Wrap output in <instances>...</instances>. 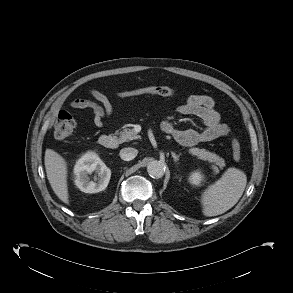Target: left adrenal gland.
I'll list each match as a JSON object with an SVG mask.
<instances>
[{
  "instance_id": "1",
  "label": "left adrenal gland",
  "mask_w": 293,
  "mask_h": 293,
  "mask_svg": "<svg viewBox=\"0 0 293 293\" xmlns=\"http://www.w3.org/2000/svg\"><path fill=\"white\" fill-rule=\"evenodd\" d=\"M171 155H172V157H173L174 162H175L176 164H178V161H179V158H180V156H181V153L177 155V154H175L174 152H171Z\"/></svg>"
}]
</instances>
